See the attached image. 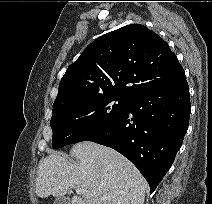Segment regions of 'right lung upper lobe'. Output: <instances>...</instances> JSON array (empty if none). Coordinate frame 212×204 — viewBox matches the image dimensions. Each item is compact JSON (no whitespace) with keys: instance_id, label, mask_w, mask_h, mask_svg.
I'll return each mask as SVG.
<instances>
[{"instance_id":"right-lung-upper-lobe-1","label":"right lung upper lobe","mask_w":212,"mask_h":204,"mask_svg":"<svg viewBox=\"0 0 212 204\" xmlns=\"http://www.w3.org/2000/svg\"><path fill=\"white\" fill-rule=\"evenodd\" d=\"M183 74L163 39L143 25L131 24L97 38L67 68L53 109L106 95L130 97Z\"/></svg>"}]
</instances>
